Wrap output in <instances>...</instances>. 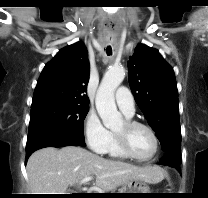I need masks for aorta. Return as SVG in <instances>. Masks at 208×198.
Returning <instances> with one entry per match:
<instances>
[{"mask_svg":"<svg viewBox=\"0 0 208 198\" xmlns=\"http://www.w3.org/2000/svg\"><path fill=\"white\" fill-rule=\"evenodd\" d=\"M125 77V69L121 66L111 67L103 76L96 95V109L106 128H114L122 121L117 110L114 93Z\"/></svg>","mask_w":208,"mask_h":198,"instance_id":"762f6f07","label":"aorta"}]
</instances>
